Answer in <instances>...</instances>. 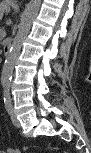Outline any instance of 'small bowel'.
Returning a JSON list of instances; mask_svg holds the SVG:
<instances>
[{
  "label": "small bowel",
  "mask_w": 91,
  "mask_h": 153,
  "mask_svg": "<svg viewBox=\"0 0 91 153\" xmlns=\"http://www.w3.org/2000/svg\"><path fill=\"white\" fill-rule=\"evenodd\" d=\"M7 152L8 153H17L18 150L17 149H8Z\"/></svg>",
  "instance_id": "small-bowel-1"
}]
</instances>
